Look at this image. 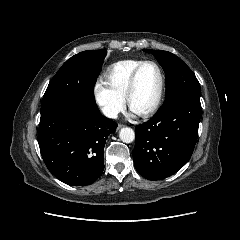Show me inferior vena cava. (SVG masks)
Listing matches in <instances>:
<instances>
[{
  "label": "inferior vena cava",
  "instance_id": "602c4592",
  "mask_svg": "<svg viewBox=\"0 0 240 240\" xmlns=\"http://www.w3.org/2000/svg\"><path fill=\"white\" fill-rule=\"evenodd\" d=\"M102 112L106 117L116 119L119 111L114 107L105 106L102 108Z\"/></svg>",
  "mask_w": 240,
  "mask_h": 240
}]
</instances>
